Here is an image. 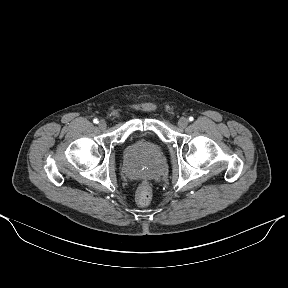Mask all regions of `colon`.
Instances as JSON below:
<instances>
[{
  "label": "colon",
  "mask_w": 288,
  "mask_h": 288,
  "mask_svg": "<svg viewBox=\"0 0 288 288\" xmlns=\"http://www.w3.org/2000/svg\"><path fill=\"white\" fill-rule=\"evenodd\" d=\"M152 198L151 187L147 183H143L139 186L136 192L135 200L138 205L146 206L150 203Z\"/></svg>",
  "instance_id": "5ec220e1"
}]
</instances>
